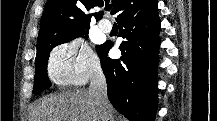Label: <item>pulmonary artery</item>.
<instances>
[{"instance_id":"e3ab8cb5","label":"pulmonary artery","mask_w":217,"mask_h":121,"mask_svg":"<svg viewBox=\"0 0 217 121\" xmlns=\"http://www.w3.org/2000/svg\"><path fill=\"white\" fill-rule=\"evenodd\" d=\"M98 25L105 33H109L112 30V23L109 20H101Z\"/></svg>"}]
</instances>
